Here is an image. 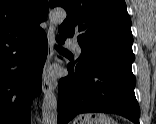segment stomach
Segmentation results:
<instances>
[{"mask_svg":"<svg viewBox=\"0 0 156 124\" xmlns=\"http://www.w3.org/2000/svg\"><path fill=\"white\" fill-rule=\"evenodd\" d=\"M72 124H117L111 118L104 114H98L94 118L90 115L79 116Z\"/></svg>","mask_w":156,"mask_h":124,"instance_id":"1","label":"stomach"}]
</instances>
